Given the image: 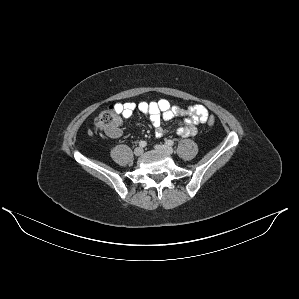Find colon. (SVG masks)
Returning a JSON list of instances; mask_svg holds the SVG:
<instances>
[{
	"instance_id": "colon-1",
	"label": "colon",
	"mask_w": 299,
	"mask_h": 299,
	"mask_svg": "<svg viewBox=\"0 0 299 299\" xmlns=\"http://www.w3.org/2000/svg\"><path fill=\"white\" fill-rule=\"evenodd\" d=\"M207 123L210 126L215 124L213 116L207 117ZM120 119L118 113L113 109L102 111L95 120V130L98 132L113 134L119 130Z\"/></svg>"
}]
</instances>
